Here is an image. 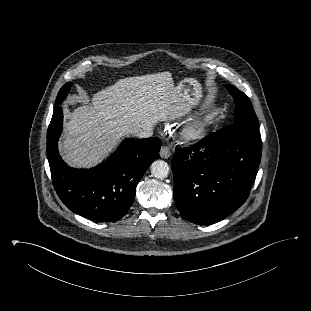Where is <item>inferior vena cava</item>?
<instances>
[{
    "label": "inferior vena cava",
    "mask_w": 311,
    "mask_h": 311,
    "mask_svg": "<svg viewBox=\"0 0 311 311\" xmlns=\"http://www.w3.org/2000/svg\"><path fill=\"white\" fill-rule=\"evenodd\" d=\"M134 136L139 137V138H148L153 135V130L152 129H141L133 133Z\"/></svg>",
    "instance_id": "1"
}]
</instances>
